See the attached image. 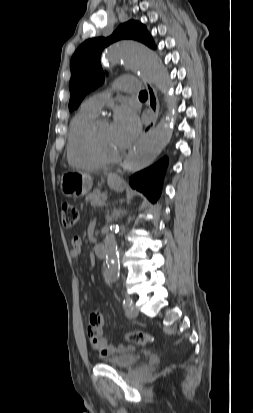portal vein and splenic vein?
Here are the masks:
<instances>
[{
	"mask_svg": "<svg viewBox=\"0 0 253 413\" xmlns=\"http://www.w3.org/2000/svg\"><path fill=\"white\" fill-rule=\"evenodd\" d=\"M102 204H104V203H100V204H98V206H101Z\"/></svg>",
	"mask_w": 253,
	"mask_h": 413,
	"instance_id": "portal-vein-and-splenic-vein-1",
	"label": "portal vein and splenic vein"
}]
</instances>
